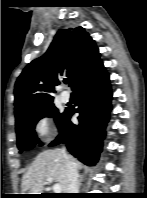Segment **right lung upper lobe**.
Returning <instances> with one entry per match:
<instances>
[{
  "label": "right lung upper lobe",
  "instance_id": "cb5924a9",
  "mask_svg": "<svg viewBox=\"0 0 147 198\" xmlns=\"http://www.w3.org/2000/svg\"><path fill=\"white\" fill-rule=\"evenodd\" d=\"M94 40L82 27L60 29L47 52L29 63L15 84L16 123L25 116L53 103L58 74L68 70L74 89L102 61Z\"/></svg>",
  "mask_w": 147,
  "mask_h": 198
}]
</instances>
